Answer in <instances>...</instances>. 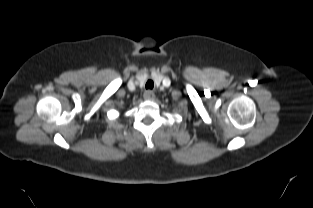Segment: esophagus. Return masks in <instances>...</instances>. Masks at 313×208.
<instances>
[{"label": "esophagus", "mask_w": 313, "mask_h": 208, "mask_svg": "<svg viewBox=\"0 0 313 208\" xmlns=\"http://www.w3.org/2000/svg\"><path fill=\"white\" fill-rule=\"evenodd\" d=\"M143 97L145 100H152L154 99V93L151 90H147L145 91Z\"/></svg>", "instance_id": "obj_1"}]
</instances>
